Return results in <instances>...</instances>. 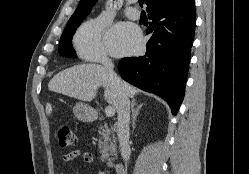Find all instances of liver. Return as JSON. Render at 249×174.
Listing matches in <instances>:
<instances>
[{
    "mask_svg": "<svg viewBox=\"0 0 249 174\" xmlns=\"http://www.w3.org/2000/svg\"><path fill=\"white\" fill-rule=\"evenodd\" d=\"M128 97L134 98L138 89L121 80ZM104 88L105 100L117 110V90L107 70L99 64H81L65 69L56 74L49 82L50 91L90 102L98 88Z\"/></svg>",
    "mask_w": 249,
    "mask_h": 174,
    "instance_id": "6515ba94",
    "label": "liver"
}]
</instances>
